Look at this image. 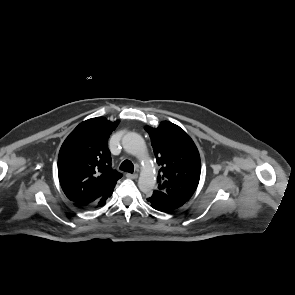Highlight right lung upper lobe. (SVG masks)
<instances>
[{
  "label": "right lung upper lobe",
  "mask_w": 295,
  "mask_h": 295,
  "mask_svg": "<svg viewBox=\"0 0 295 295\" xmlns=\"http://www.w3.org/2000/svg\"><path fill=\"white\" fill-rule=\"evenodd\" d=\"M119 121L104 117L80 123L66 138L58 156V174L67 198L88 205L115 186L122 174L111 167L107 141Z\"/></svg>",
  "instance_id": "right-lung-upper-lobe-1"
}]
</instances>
